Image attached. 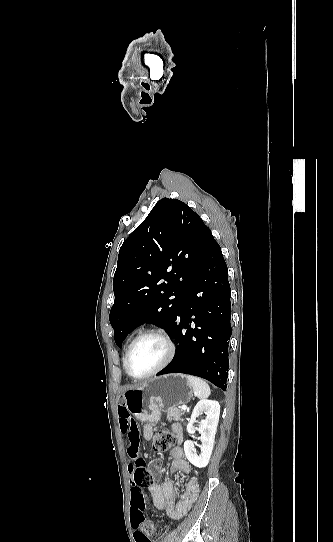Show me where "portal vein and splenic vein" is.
Segmentation results:
<instances>
[{"label":"portal vein and splenic vein","mask_w":333,"mask_h":542,"mask_svg":"<svg viewBox=\"0 0 333 542\" xmlns=\"http://www.w3.org/2000/svg\"><path fill=\"white\" fill-rule=\"evenodd\" d=\"M181 410H187V406H182Z\"/></svg>","instance_id":"18ae733b"}]
</instances>
